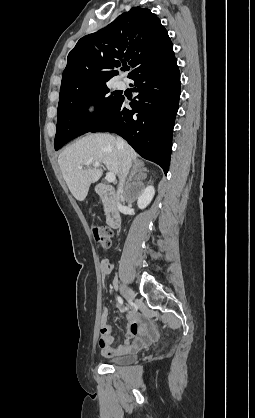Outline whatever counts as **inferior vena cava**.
<instances>
[{
	"mask_svg": "<svg viewBox=\"0 0 255 418\" xmlns=\"http://www.w3.org/2000/svg\"><path fill=\"white\" fill-rule=\"evenodd\" d=\"M116 146L120 151V167H121V172H122V176H121L120 183H119V188L117 190V196L118 198H120L123 192V185L125 182V178L127 177L129 173V169L131 167V158H130L129 151H128V145L121 137H117ZM118 206L120 207V204H118Z\"/></svg>",
	"mask_w": 255,
	"mask_h": 418,
	"instance_id": "inferior-vena-cava-1",
	"label": "inferior vena cava"
}]
</instances>
